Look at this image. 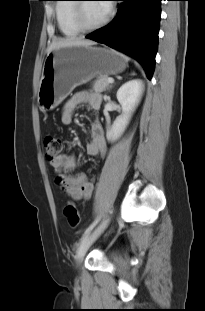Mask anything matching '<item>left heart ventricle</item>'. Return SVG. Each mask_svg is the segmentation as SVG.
Listing matches in <instances>:
<instances>
[{
	"instance_id": "left-heart-ventricle-1",
	"label": "left heart ventricle",
	"mask_w": 205,
	"mask_h": 311,
	"mask_svg": "<svg viewBox=\"0 0 205 311\" xmlns=\"http://www.w3.org/2000/svg\"><path fill=\"white\" fill-rule=\"evenodd\" d=\"M107 10L102 1H85L83 16L88 25H96L107 15Z\"/></svg>"
}]
</instances>
